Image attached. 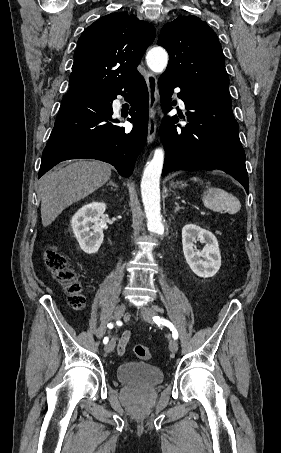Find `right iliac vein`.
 Segmentation results:
<instances>
[{
	"instance_id": "right-iliac-vein-1",
	"label": "right iliac vein",
	"mask_w": 281,
	"mask_h": 453,
	"mask_svg": "<svg viewBox=\"0 0 281 453\" xmlns=\"http://www.w3.org/2000/svg\"><path fill=\"white\" fill-rule=\"evenodd\" d=\"M124 310H125V305L123 303H118L116 305V310L114 311V316L117 320L123 316ZM115 346H116L115 340L112 338L110 341H108L107 345L105 346V352L114 351Z\"/></svg>"
}]
</instances>
